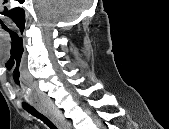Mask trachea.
<instances>
[{"mask_svg": "<svg viewBox=\"0 0 169 129\" xmlns=\"http://www.w3.org/2000/svg\"><path fill=\"white\" fill-rule=\"evenodd\" d=\"M23 108L33 115L34 117L40 119L44 124H46L50 129H57V127L54 125V123L44 114L39 112L36 108L32 106H23Z\"/></svg>", "mask_w": 169, "mask_h": 129, "instance_id": "3493384b", "label": "trachea"}]
</instances>
